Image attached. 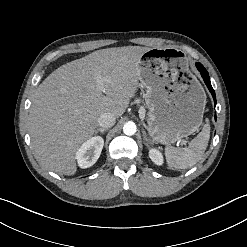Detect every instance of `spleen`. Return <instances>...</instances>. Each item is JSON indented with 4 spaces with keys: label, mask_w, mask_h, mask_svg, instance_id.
Segmentation results:
<instances>
[{
    "label": "spleen",
    "mask_w": 247,
    "mask_h": 247,
    "mask_svg": "<svg viewBox=\"0 0 247 247\" xmlns=\"http://www.w3.org/2000/svg\"><path fill=\"white\" fill-rule=\"evenodd\" d=\"M210 125L207 122L202 131L189 142L188 148L166 147L165 156L170 168L186 169L201 160L209 142Z\"/></svg>",
    "instance_id": "3e777b00"
}]
</instances>
